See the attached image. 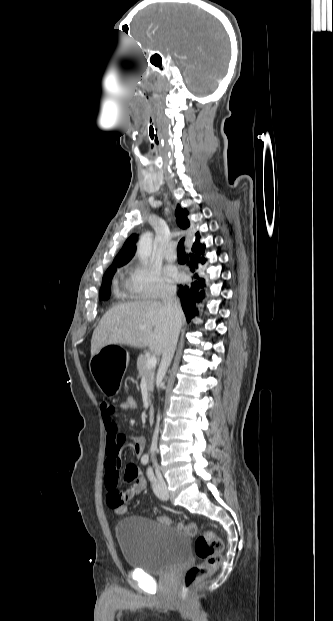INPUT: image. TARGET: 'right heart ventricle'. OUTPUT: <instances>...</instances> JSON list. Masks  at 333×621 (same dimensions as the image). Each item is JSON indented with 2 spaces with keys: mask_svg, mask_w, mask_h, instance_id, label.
I'll return each mask as SVG.
<instances>
[{
  "mask_svg": "<svg viewBox=\"0 0 333 621\" xmlns=\"http://www.w3.org/2000/svg\"><path fill=\"white\" fill-rule=\"evenodd\" d=\"M117 296L123 299L133 298V294L131 293L128 283L124 284L122 287L117 288Z\"/></svg>",
  "mask_w": 333,
  "mask_h": 621,
  "instance_id": "right-heart-ventricle-1",
  "label": "right heart ventricle"
}]
</instances>
